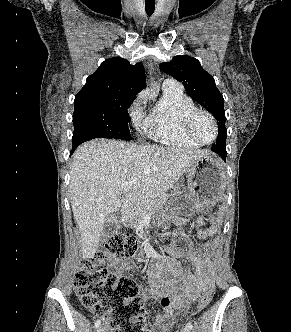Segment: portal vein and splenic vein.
I'll return each mask as SVG.
<instances>
[{
	"mask_svg": "<svg viewBox=\"0 0 291 332\" xmlns=\"http://www.w3.org/2000/svg\"><path fill=\"white\" fill-rule=\"evenodd\" d=\"M133 182L132 181H128L125 182L121 185V188L125 191H127L131 186H132Z\"/></svg>",
	"mask_w": 291,
	"mask_h": 332,
	"instance_id": "portal-vein-and-splenic-vein-1",
	"label": "portal vein and splenic vein"
}]
</instances>
